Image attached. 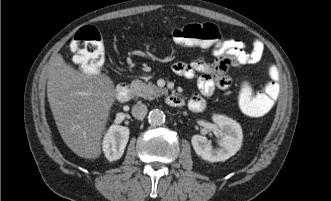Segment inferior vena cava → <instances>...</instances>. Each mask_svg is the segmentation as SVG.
Masks as SVG:
<instances>
[{
	"mask_svg": "<svg viewBox=\"0 0 331 201\" xmlns=\"http://www.w3.org/2000/svg\"><path fill=\"white\" fill-rule=\"evenodd\" d=\"M147 114V106L141 102H137L132 108V115L136 119H143Z\"/></svg>",
	"mask_w": 331,
	"mask_h": 201,
	"instance_id": "602c4592",
	"label": "inferior vena cava"
}]
</instances>
